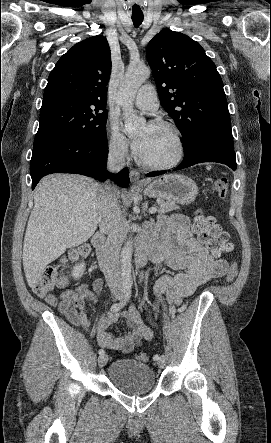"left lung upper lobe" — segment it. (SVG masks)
<instances>
[{"instance_id":"1","label":"left lung upper lobe","mask_w":271,"mask_h":443,"mask_svg":"<svg viewBox=\"0 0 271 443\" xmlns=\"http://www.w3.org/2000/svg\"><path fill=\"white\" fill-rule=\"evenodd\" d=\"M146 54L161 105L181 132L184 150L205 131H231L223 82L198 42L163 29L149 42Z\"/></svg>"}]
</instances>
